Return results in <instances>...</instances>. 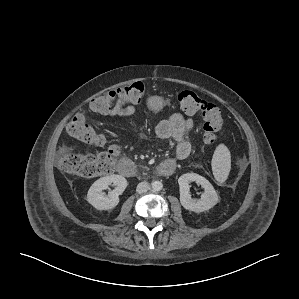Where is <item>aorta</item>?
<instances>
[{"label":"aorta","instance_id":"1","mask_svg":"<svg viewBox=\"0 0 299 299\" xmlns=\"http://www.w3.org/2000/svg\"><path fill=\"white\" fill-rule=\"evenodd\" d=\"M151 185H152L153 191H156V192L162 190V188H163V184L160 181H153Z\"/></svg>","mask_w":299,"mask_h":299}]
</instances>
